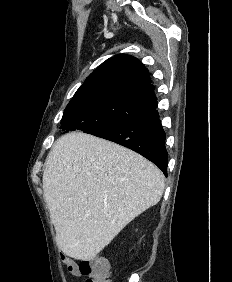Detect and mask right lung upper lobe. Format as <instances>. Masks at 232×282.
I'll return each mask as SVG.
<instances>
[{
	"label": "right lung upper lobe",
	"mask_w": 232,
	"mask_h": 282,
	"mask_svg": "<svg viewBox=\"0 0 232 282\" xmlns=\"http://www.w3.org/2000/svg\"><path fill=\"white\" fill-rule=\"evenodd\" d=\"M114 89L143 92L157 107L148 69L137 58L125 54L116 55L102 63L86 78L73 97Z\"/></svg>",
	"instance_id": "right-lung-upper-lobe-1"
}]
</instances>
